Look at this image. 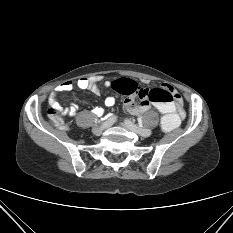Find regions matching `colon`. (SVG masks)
Instances as JSON below:
<instances>
[{"instance_id": "obj_1", "label": "colon", "mask_w": 233, "mask_h": 233, "mask_svg": "<svg viewBox=\"0 0 233 233\" xmlns=\"http://www.w3.org/2000/svg\"><path fill=\"white\" fill-rule=\"evenodd\" d=\"M113 89L123 95L138 98L140 101L153 103L162 113L161 128L165 132H172L180 125V115L174 107L172 93L164 88H143L130 79H119L113 82ZM49 117L59 127H63V120L59 110H49Z\"/></svg>"}]
</instances>
